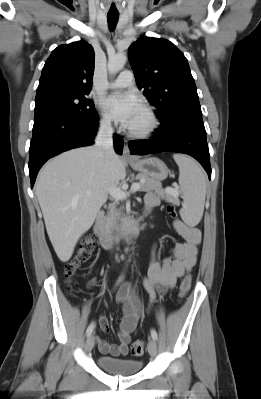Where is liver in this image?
<instances>
[{
    "instance_id": "1",
    "label": "liver",
    "mask_w": 261,
    "mask_h": 399,
    "mask_svg": "<svg viewBox=\"0 0 261 399\" xmlns=\"http://www.w3.org/2000/svg\"><path fill=\"white\" fill-rule=\"evenodd\" d=\"M125 177L121 157L115 152L106 156L95 145L64 152L41 169L35 193L62 262L71 258L79 238L93 225L110 189Z\"/></svg>"
}]
</instances>
